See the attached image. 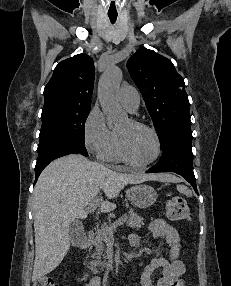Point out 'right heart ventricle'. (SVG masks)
Returning <instances> with one entry per match:
<instances>
[{
    "label": "right heart ventricle",
    "mask_w": 231,
    "mask_h": 286,
    "mask_svg": "<svg viewBox=\"0 0 231 286\" xmlns=\"http://www.w3.org/2000/svg\"><path fill=\"white\" fill-rule=\"evenodd\" d=\"M99 158L105 162H118L120 159L115 150V136L112 144L99 154Z\"/></svg>",
    "instance_id": "1"
}]
</instances>
